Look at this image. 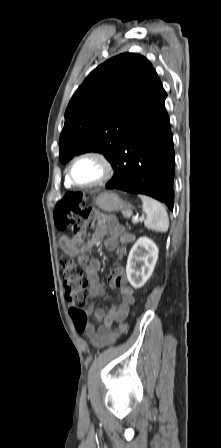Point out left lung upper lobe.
Listing matches in <instances>:
<instances>
[{"label": "left lung upper lobe", "instance_id": "1", "mask_svg": "<svg viewBox=\"0 0 221 448\" xmlns=\"http://www.w3.org/2000/svg\"><path fill=\"white\" fill-rule=\"evenodd\" d=\"M164 92L145 57L123 53L105 61L87 76L67 106L60 161L94 151L111 163L127 132Z\"/></svg>", "mask_w": 221, "mask_h": 448}]
</instances>
